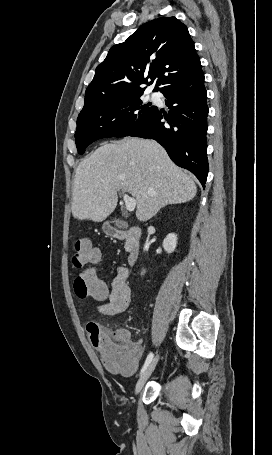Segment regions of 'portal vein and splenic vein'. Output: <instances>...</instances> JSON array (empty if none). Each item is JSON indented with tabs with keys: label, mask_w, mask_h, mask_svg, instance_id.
<instances>
[{
	"label": "portal vein and splenic vein",
	"mask_w": 272,
	"mask_h": 455,
	"mask_svg": "<svg viewBox=\"0 0 272 455\" xmlns=\"http://www.w3.org/2000/svg\"><path fill=\"white\" fill-rule=\"evenodd\" d=\"M123 200L125 202V206H126V209L128 211H133L136 207V199L133 198V197H130L129 195L127 194H124L123 195Z\"/></svg>",
	"instance_id": "1"
}]
</instances>
